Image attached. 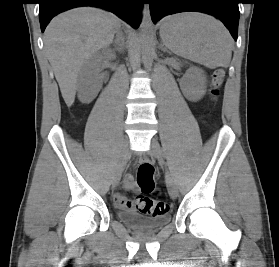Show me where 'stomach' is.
Here are the masks:
<instances>
[{
  "label": "stomach",
  "mask_w": 279,
  "mask_h": 267,
  "mask_svg": "<svg viewBox=\"0 0 279 267\" xmlns=\"http://www.w3.org/2000/svg\"><path fill=\"white\" fill-rule=\"evenodd\" d=\"M168 19H169V18H167V19L164 21V23H166V22L168 21ZM164 23H163V24H164Z\"/></svg>",
  "instance_id": "stomach-1"
}]
</instances>
